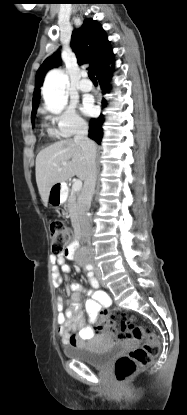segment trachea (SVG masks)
Listing matches in <instances>:
<instances>
[{"label": "trachea", "mask_w": 187, "mask_h": 415, "mask_svg": "<svg viewBox=\"0 0 187 415\" xmlns=\"http://www.w3.org/2000/svg\"><path fill=\"white\" fill-rule=\"evenodd\" d=\"M88 76L92 81H97L95 75L93 74V72L91 70L88 71Z\"/></svg>", "instance_id": "3493384b"}]
</instances>
